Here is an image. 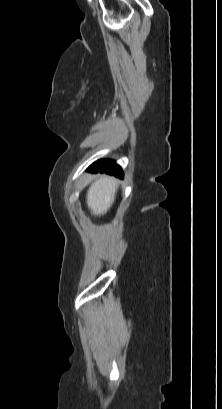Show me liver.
Instances as JSON below:
<instances>
[{"instance_id":"liver-1","label":"liver","mask_w":222,"mask_h":409,"mask_svg":"<svg viewBox=\"0 0 222 409\" xmlns=\"http://www.w3.org/2000/svg\"><path fill=\"white\" fill-rule=\"evenodd\" d=\"M118 185L116 179L108 176H99L87 192V206L95 216L107 213L114 203Z\"/></svg>"}]
</instances>
